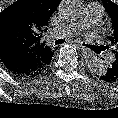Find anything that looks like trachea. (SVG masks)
Returning a JSON list of instances; mask_svg holds the SVG:
<instances>
[{"instance_id":"1","label":"trachea","mask_w":118,"mask_h":118,"mask_svg":"<svg viewBox=\"0 0 118 118\" xmlns=\"http://www.w3.org/2000/svg\"><path fill=\"white\" fill-rule=\"evenodd\" d=\"M63 42H64L63 39H58V40L55 41V45H59V44H61Z\"/></svg>"}]
</instances>
